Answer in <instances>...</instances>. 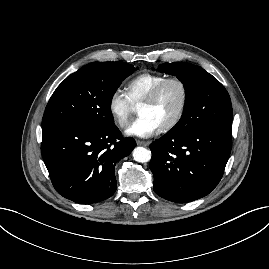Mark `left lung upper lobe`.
<instances>
[{
  "mask_svg": "<svg viewBox=\"0 0 269 269\" xmlns=\"http://www.w3.org/2000/svg\"><path fill=\"white\" fill-rule=\"evenodd\" d=\"M158 70L176 76L186 90L183 115L169 132L186 134L209 125L232 124L229 94L211 74L184 62L164 63L158 66Z\"/></svg>",
  "mask_w": 269,
  "mask_h": 269,
  "instance_id": "left-lung-upper-lobe-1",
  "label": "left lung upper lobe"
}]
</instances>
